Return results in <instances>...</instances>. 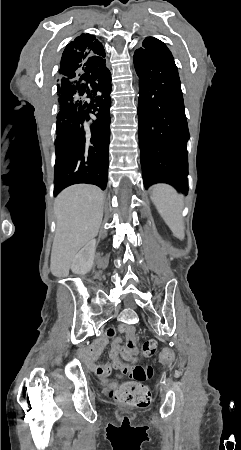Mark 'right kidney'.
<instances>
[{"mask_svg":"<svg viewBox=\"0 0 241 450\" xmlns=\"http://www.w3.org/2000/svg\"><path fill=\"white\" fill-rule=\"evenodd\" d=\"M95 250L96 240H90V242L76 254L71 264L73 274H87V272H90L95 258Z\"/></svg>","mask_w":241,"mask_h":450,"instance_id":"1","label":"right kidney"}]
</instances>
